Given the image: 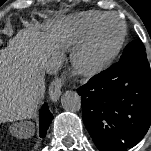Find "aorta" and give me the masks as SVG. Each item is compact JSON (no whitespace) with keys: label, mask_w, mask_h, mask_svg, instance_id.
Listing matches in <instances>:
<instances>
[{"label":"aorta","mask_w":151,"mask_h":151,"mask_svg":"<svg viewBox=\"0 0 151 151\" xmlns=\"http://www.w3.org/2000/svg\"><path fill=\"white\" fill-rule=\"evenodd\" d=\"M61 104L65 110L75 112L81 108V98L77 92L68 90L63 93Z\"/></svg>","instance_id":"obj_1"}]
</instances>
